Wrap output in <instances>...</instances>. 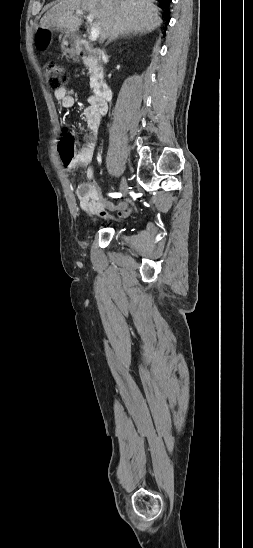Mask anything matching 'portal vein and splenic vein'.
<instances>
[{
	"label": "portal vein and splenic vein",
	"mask_w": 253,
	"mask_h": 548,
	"mask_svg": "<svg viewBox=\"0 0 253 548\" xmlns=\"http://www.w3.org/2000/svg\"><path fill=\"white\" fill-rule=\"evenodd\" d=\"M75 14L76 15H83L84 12H83V10H76ZM86 18H87V21L90 22V24H91V32H90V35H89V40L90 41H96L97 38L99 37V34H100V27L98 26V24L93 23L94 16L92 14L89 13Z\"/></svg>",
	"instance_id": "portal-vein-and-splenic-vein-1"
}]
</instances>
